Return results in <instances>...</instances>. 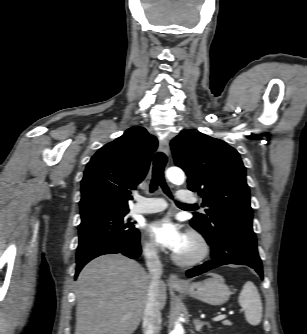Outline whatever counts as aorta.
Masks as SVG:
<instances>
[{"label":"aorta","mask_w":307,"mask_h":334,"mask_svg":"<svg viewBox=\"0 0 307 334\" xmlns=\"http://www.w3.org/2000/svg\"><path fill=\"white\" fill-rule=\"evenodd\" d=\"M166 176L170 182L176 185H181L185 181V175L183 171L179 168H175V167L169 168L166 171ZM180 321L181 319H178L175 322V325H174L173 330L171 331V334H184V328Z\"/></svg>","instance_id":"1"}]
</instances>
